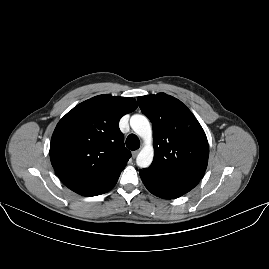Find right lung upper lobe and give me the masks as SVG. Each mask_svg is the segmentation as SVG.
<instances>
[{"label": "right lung upper lobe", "mask_w": 269, "mask_h": 269, "mask_svg": "<svg viewBox=\"0 0 269 269\" xmlns=\"http://www.w3.org/2000/svg\"><path fill=\"white\" fill-rule=\"evenodd\" d=\"M137 107L130 97L98 95L59 121L51 138L50 159L69 189L96 187L119 177L131 157L119 120Z\"/></svg>", "instance_id": "1"}]
</instances>
